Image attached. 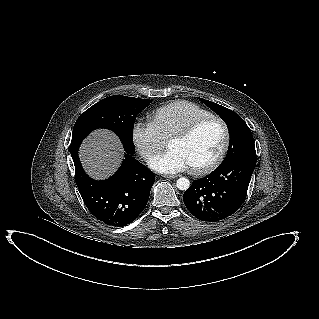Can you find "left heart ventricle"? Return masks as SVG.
Segmentation results:
<instances>
[{
    "label": "left heart ventricle",
    "mask_w": 319,
    "mask_h": 319,
    "mask_svg": "<svg viewBox=\"0 0 319 319\" xmlns=\"http://www.w3.org/2000/svg\"><path fill=\"white\" fill-rule=\"evenodd\" d=\"M222 142L223 132L220 125L211 121L199 127L191 137L172 141L169 148L181 153L189 168L200 167L215 158Z\"/></svg>",
    "instance_id": "b2bd125f"
}]
</instances>
